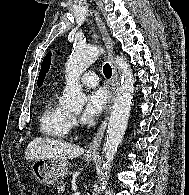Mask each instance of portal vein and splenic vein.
<instances>
[{
    "label": "portal vein and splenic vein",
    "instance_id": "portal-vein-and-splenic-vein-1",
    "mask_svg": "<svg viewBox=\"0 0 189 195\" xmlns=\"http://www.w3.org/2000/svg\"><path fill=\"white\" fill-rule=\"evenodd\" d=\"M72 195H80L79 192H74Z\"/></svg>",
    "mask_w": 189,
    "mask_h": 195
}]
</instances>
